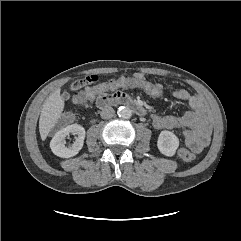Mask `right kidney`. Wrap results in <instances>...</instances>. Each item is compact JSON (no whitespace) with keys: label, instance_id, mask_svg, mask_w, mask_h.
I'll return each instance as SVG.
<instances>
[{"label":"right kidney","instance_id":"obj_1","mask_svg":"<svg viewBox=\"0 0 241 241\" xmlns=\"http://www.w3.org/2000/svg\"><path fill=\"white\" fill-rule=\"evenodd\" d=\"M69 134L76 135L74 143L70 146H66V137ZM85 138V129L78 125L72 124L61 130H59L50 142V148L52 152L62 158H70L78 154L79 150L83 147Z\"/></svg>","mask_w":241,"mask_h":241}]
</instances>
